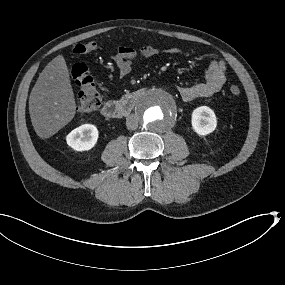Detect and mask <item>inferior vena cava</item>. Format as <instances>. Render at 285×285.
I'll return each instance as SVG.
<instances>
[{"label":"inferior vena cava","mask_w":285,"mask_h":285,"mask_svg":"<svg viewBox=\"0 0 285 285\" xmlns=\"http://www.w3.org/2000/svg\"><path fill=\"white\" fill-rule=\"evenodd\" d=\"M138 122L139 120L137 115L132 114L126 118V126L129 130H136L138 127Z\"/></svg>","instance_id":"1"}]
</instances>
